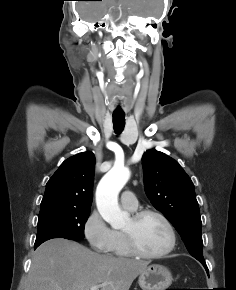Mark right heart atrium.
Here are the masks:
<instances>
[{"mask_svg":"<svg viewBox=\"0 0 236 290\" xmlns=\"http://www.w3.org/2000/svg\"><path fill=\"white\" fill-rule=\"evenodd\" d=\"M83 235L90 248L97 253L109 252L114 240L113 230L96 209L86 217L83 223Z\"/></svg>","mask_w":236,"mask_h":290,"instance_id":"d8ad5b80","label":"right heart atrium"}]
</instances>
